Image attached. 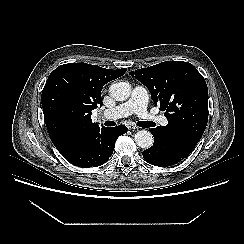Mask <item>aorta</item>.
<instances>
[{"label":"aorta","instance_id":"obj_1","mask_svg":"<svg viewBox=\"0 0 244 244\" xmlns=\"http://www.w3.org/2000/svg\"><path fill=\"white\" fill-rule=\"evenodd\" d=\"M112 98L117 101H125L131 95V85L127 82L114 83L109 88ZM136 144L143 149H148L153 145L154 138L150 131L140 130L135 134Z\"/></svg>","mask_w":244,"mask_h":244}]
</instances>
